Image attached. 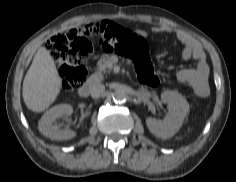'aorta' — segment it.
<instances>
[{
	"label": "aorta",
	"mask_w": 236,
	"mask_h": 182,
	"mask_svg": "<svg viewBox=\"0 0 236 182\" xmlns=\"http://www.w3.org/2000/svg\"><path fill=\"white\" fill-rule=\"evenodd\" d=\"M112 98L116 103H123L127 99V94L122 89H117L113 92Z\"/></svg>",
	"instance_id": "aorta-1"
}]
</instances>
